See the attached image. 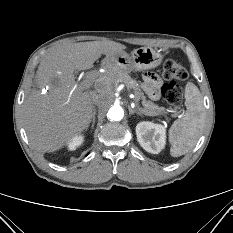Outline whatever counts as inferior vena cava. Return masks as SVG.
<instances>
[{
	"instance_id": "1",
	"label": "inferior vena cava",
	"mask_w": 233,
	"mask_h": 233,
	"mask_svg": "<svg viewBox=\"0 0 233 233\" xmlns=\"http://www.w3.org/2000/svg\"><path fill=\"white\" fill-rule=\"evenodd\" d=\"M96 88H97V90L99 91V92H102V89L100 88V86H101V82L100 81H98L97 83H96ZM95 92V91H94ZM96 98H97V94H96V92H95V95L93 96V101H95L96 100Z\"/></svg>"
}]
</instances>
